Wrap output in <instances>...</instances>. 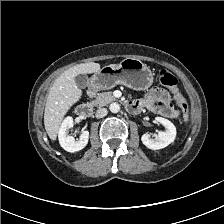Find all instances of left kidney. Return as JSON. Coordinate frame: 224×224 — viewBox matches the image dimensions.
<instances>
[{
    "label": "left kidney",
    "mask_w": 224,
    "mask_h": 224,
    "mask_svg": "<svg viewBox=\"0 0 224 224\" xmlns=\"http://www.w3.org/2000/svg\"><path fill=\"white\" fill-rule=\"evenodd\" d=\"M155 120L165 127V131H160L156 139H151L149 134L141 137L142 143L149 149L158 150L167 147L176 137V128L174 124L162 117H156Z\"/></svg>",
    "instance_id": "5707ae66"
}]
</instances>
